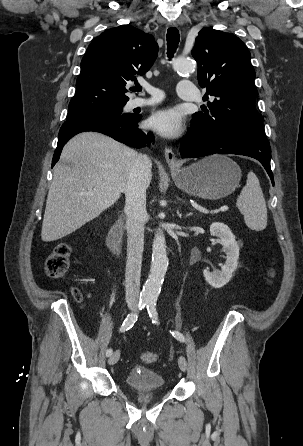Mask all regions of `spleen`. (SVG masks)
Wrapping results in <instances>:
<instances>
[{"mask_svg": "<svg viewBox=\"0 0 303 446\" xmlns=\"http://www.w3.org/2000/svg\"><path fill=\"white\" fill-rule=\"evenodd\" d=\"M236 206L251 230L261 231L267 226V208L259 180L253 172L247 175L246 185L237 198Z\"/></svg>", "mask_w": 303, "mask_h": 446, "instance_id": "spleen-1", "label": "spleen"}]
</instances>
